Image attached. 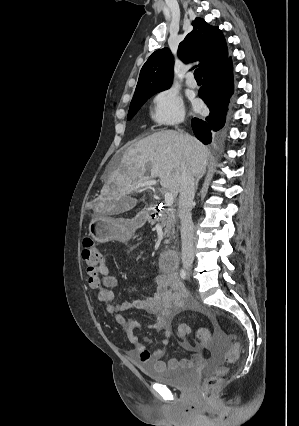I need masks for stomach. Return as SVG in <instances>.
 <instances>
[{
  "mask_svg": "<svg viewBox=\"0 0 299 426\" xmlns=\"http://www.w3.org/2000/svg\"><path fill=\"white\" fill-rule=\"evenodd\" d=\"M88 230L89 235L100 243L126 241L134 233V224L130 220L98 214L92 218Z\"/></svg>",
  "mask_w": 299,
  "mask_h": 426,
  "instance_id": "1",
  "label": "stomach"
}]
</instances>
